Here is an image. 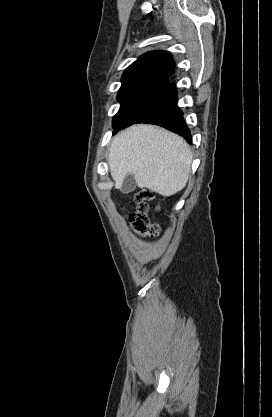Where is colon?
<instances>
[{"label":"colon","mask_w":272,"mask_h":417,"mask_svg":"<svg viewBox=\"0 0 272 417\" xmlns=\"http://www.w3.org/2000/svg\"><path fill=\"white\" fill-rule=\"evenodd\" d=\"M153 193L149 190H141L134 196L137 203L136 211L131 215L130 222L133 230L142 236H154L158 228L148 217L150 209L149 201L153 198Z\"/></svg>","instance_id":"colon-1"}]
</instances>
